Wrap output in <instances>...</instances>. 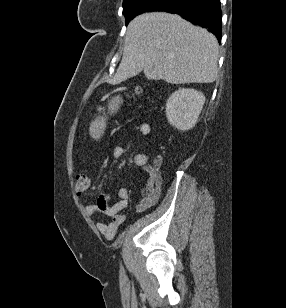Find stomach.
<instances>
[{
    "mask_svg": "<svg viewBox=\"0 0 286 308\" xmlns=\"http://www.w3.org/2000/svg\"><path fill=\"white\" fill-rule=\"evenodd\" d=\"M121 97H117L116 93H111L110 97H104V103L101 109H97V116H112V110H119ZM96 129H104L105 124H113V117H94Z\"/></svg>",
    "mask_w": 286,
    "mask_h": 308,
    "instance_id": "1",
    "label": "stomach"
}]
</instances>
